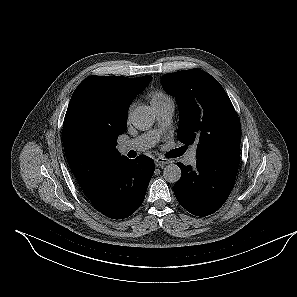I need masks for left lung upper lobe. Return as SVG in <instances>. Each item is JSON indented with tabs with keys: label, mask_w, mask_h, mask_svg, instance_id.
<instances>
[{
	"label": "left lung upper lobe",
	"mask_w": 297,
	"mask_h": 297,
	"mask_svg": "<svg viewBox=\"0 0 297 297\" xmlns=\"http://www.w3.org/2000/svg\"><path fill=\"white\" fill-rule=\"evenodd\" d=\"M162 86L179 106L178 139L197 145L196 158L241 142L237 113L223 87L200 69L164 75Z\"/></svg>",
	"instance_id": "obj_1"
}]
</instances>
